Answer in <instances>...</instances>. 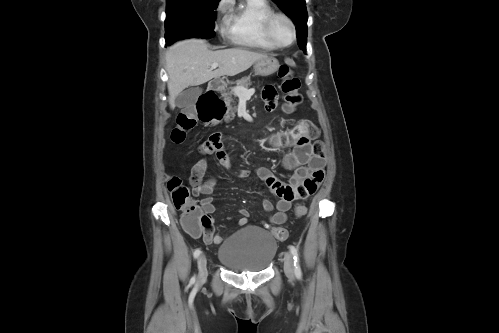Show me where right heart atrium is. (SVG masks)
<instances>
[{"label":"right heart atrium","instance_id":"right-heart-atrium-1","mask_svg":"<svg viewBox=\"0 0 499 333\" xmlns=\"http://www.w3.org/2000/svg\"><path fill=\"white\" fill-rule=\"evenodd\" d=\"M218 23L217 27L223 36L228 35V21H227V6L224 2H220L217 8Z\"/></svg>","mask_w":499,"mask_h":333}]
</instances>
